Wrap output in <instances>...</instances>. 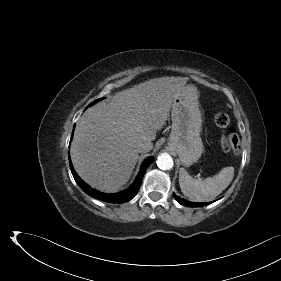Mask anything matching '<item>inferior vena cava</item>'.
<instances>
[{
  "label": "inferior vena cava",
  "mask_w": 281,
  "mask_h": 281,
  "mask_svg": "<svg viewBox=\"0 0 281 281\" xmlns=\"http://www.w3.org/2000/svg\"><path fill=\"white\" fill-rule=\"evenodd\" d=\"M149 150V145L147 144V143H140V144H138V146H137V151L139 152V153H141V152H146V151H148Z\"/></svg>",
  "instance_id": "602c4592"
}]
</instances>
